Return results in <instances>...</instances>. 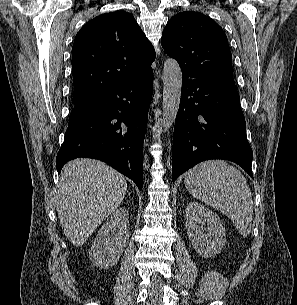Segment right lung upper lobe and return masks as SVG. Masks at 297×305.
Listing matches in <instances>:
<instances>
[{
  "instance_id": "right-lung-upper-lobe-1",
  "label": "right lung upper lobe",
  "mask_w": 297,
  "mask_h": 305,
  "mask_svg": "<svg viewBox=\"0 0 297 305\" xmlns=\"http://www.w3.org/2000/svg\"><path fill=\"white\" fill-rule=\"evenodd\" d=\"M154 60V48L132 14L95 17L77 33L72 47L73 103L146 74Z\"/></svg>"
}]
</instances>
